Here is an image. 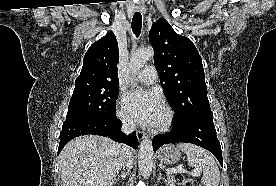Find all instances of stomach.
I'll return each mask as SVG.
<instances>
[{"mask_svg": "<svg viewBox=\"0 0 276 186\" xmlns=\"http://www.w3.org/2000/svg\"><path fill=\"white\" fill-rule=\"evenodd\" d=\"M158 158L162 164L173 165L180 160L181 153L174 145H166L160 149Z\"/></svg>", "mask_w": 276, "mask_h": 186, "instance_id": "obj_1", "label": "stomach"}]
</instances>
